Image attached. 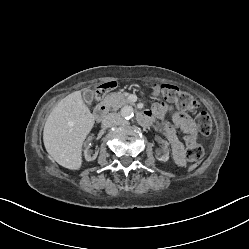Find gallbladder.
<instances>
[{
	"instance_id": "obj_1",
	"label": "gallbladder",
	"mask_w": 249,
	"mask_h": 249,
	"mask_svg": "<svg viewBox=\"0 0 249 249\" xmlns=\"http://www.w3.org/2000/svg\"><path fill=\"white\" fill-rule=\"evenodd\" d=\"M82 96L86 104L91 106L94 100V92L90 89H84Z\"/></svg>"
}]
</instances>
